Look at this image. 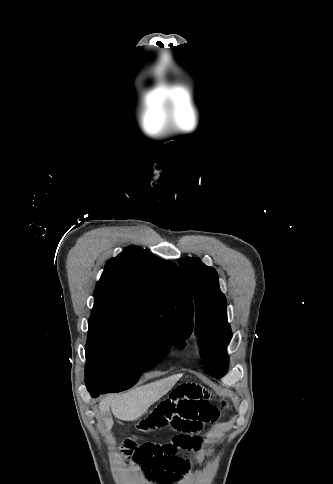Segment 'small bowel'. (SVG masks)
Segmentation results:
<instances>
[{"label":"small bowel","mask_w":333,"mask_h":484,"mask_svg":"<svg viewBox=\"0 0 333 484\" xmlns=\"http://www.w3.org/2000/svg\"><path fill=\"white\" fill-rule=\"evenodd\" d=\"M215 396L205 387L194 382H183L175 386L152 411L135 426L141 432H154L167 427L175 435L165 445L144 443L137 445L134 438L124 442L125 451L147 477L159 484H172L182 480L188 472L190 462L179 457L177 451L197 450L202 445L199 436L204 424L219 418L220 409L213 403ZM228 407L225 400L220 401Z\"/></svg>","instance_id":"c3829d8e"}]
</instances>
